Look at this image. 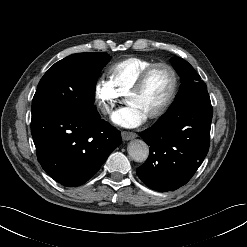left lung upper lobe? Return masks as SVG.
Returning <instances> with one entry per match:
<instances>
[{"mask_svg": "<svg viewBox=\"0 0 247 247\" xmlns=\"http://www.w3.org/2000/svg\"><path fill=\"white\" fill-rule=\"evenodd\" d=\"M171 63L181 77L182 85L168 112L175 111L182 107L196 94L207 91L206 84L187 61L179 57H174L171 59Z\"/></svg>", "mask_w": 247, "mask_h": 247, "instance_id": "left-lung-upper-lobe-1", "label": "left lung upper lobe"}]
</instances>
